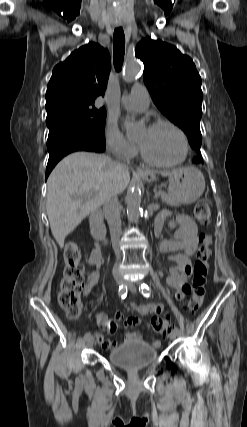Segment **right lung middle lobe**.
<instances>
[{"mask_svg":"<svg viewBox=\"0 0 247 427\" xmlns=\"http://www.w3.org/2000/svg\"><path fill=\"white\" fill-rule=\"evenodd\" d=\"M106 110L95 106L63 107L47 114L49 129L65 128L81 133L105 145Z\"/></svg>","mask_w":247,"mask_h":427,"instance_id":"1","label":"right lung middle lobe"}]
</instances>
